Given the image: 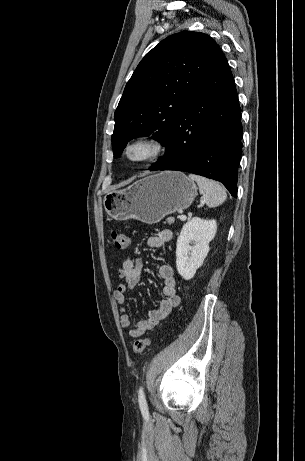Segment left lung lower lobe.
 <instances>
[{
  "instance_id": "obj_1",
  "label": "left lung lower lobe",
  "mask_w": 305,
  "mask_h": 461,
  "mask_svg": "<svg viewBox=\"0 0 305 461\" xmlns=\"http://www.w3.org/2000/svg\"><path fill=\"white\" fill-rule=\"evenodd\" d=\"M241 109L223 53L194 87L173 121L165 155L150 171L178 170L220 181L237 197Z\"/></svg>"
}]
</instances>
